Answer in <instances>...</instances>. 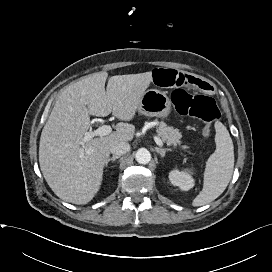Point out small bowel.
I'll use <instances>...</instances> for the list:
<instances>
[{
    "label": "small bowel",
    "instance_id": "small-bowel-1",
    "mask_svg": "<svg viewBox=\"0 0 272 272\" xmlns=\"http://www.w3.org/2000/svg\"><path fill=\"white\" fill-rule=\"evenodd\" d=\"M153 80L158 86L164 88L189 87L202 91L211 89L208 82L175 69H155L153 71Z\"/></svg>",
    "mask_w": 272,
    "mask_h": 272
}]
</instances>
